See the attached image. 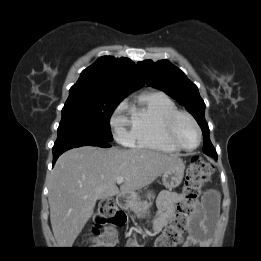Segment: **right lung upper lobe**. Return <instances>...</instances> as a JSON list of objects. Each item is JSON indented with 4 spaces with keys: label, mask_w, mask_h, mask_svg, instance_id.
Instances as JSON below:
<instances>
[{
    "label": "right lung upper lobe",
    "mask_w": 261,
    "mask_h": 261,
    "mask_svg": "<svg viewBox=\"0 0 261 261\" xmlns=\"http://www.w3.org/2000/svg\"><path fill=\"white\" fill-rule=\"evenodd\" d=\"M143 85L135 64L128 58L100 57L81 73L70 89L69 98L126 97Z\"/></svg>",
    "instance_id": "cb5924a9"
}]
</instances>
